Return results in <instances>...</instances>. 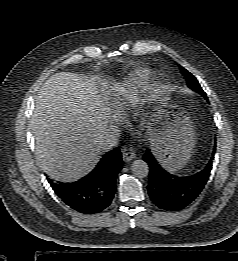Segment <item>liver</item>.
<instances>
[{
    "instance_id": "liver-1",
    "label": "liver",
    "mask_w": 238,
    "mask_h": 261,
    "mask_svg": "<svg viewBox=\"0 0 238 261\" xmlns=\"http://www.w3.org/2000/svg\"><path fill=\"white\" fill-rule=\"evenodd\" d=\"M119 94H129L114 85ZM108 95L93 79L60 72L43 84L35 100L31 129L36 160L45 173L62 182L87 175L103 154L101 142L111 121Z\"/></svg>"
}]
</instances>
